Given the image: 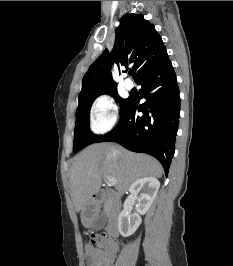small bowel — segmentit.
<instances>
[{
    "label": "small bowel",
    "mask_w": 233,
    "mask_h": 266,
    "mask_svg": "<svg viewBox=\"0 0 233 266\" xmlns=\"http://www.w3.org/2000/svg\"><path fill=\"white\" fill-rule=\"evenodd\" d=\"M118 251V244L109 237L96 247H85L87 266H113Z\"/></svg>",
    "instance_id": "c3829d8e"
}]
</instances>
